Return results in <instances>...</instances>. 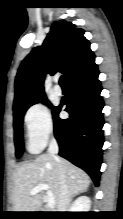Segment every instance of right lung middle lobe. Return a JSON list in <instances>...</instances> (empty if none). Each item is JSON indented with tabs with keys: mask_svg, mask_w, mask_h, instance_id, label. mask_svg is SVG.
<instances>
[{
	"mask_svg": "<svg viewBox=\"0 0 123 219\" xmlns=\"http://www.w3.org/2000/svg\"><path fill=\"white\" fill-rule=\"evenodd\" d=\"M42 102L49 107L52 108V113L56 109V107H53L49 101L47 100L46 96H40L35 99H32L16 108L13 109L14 113V142H15V149H16V156L19 158L23 154L24 151V145H23V134H22V124H23V117L26 112V110L32 106L33 104Z\"/></svg>",
	"mask_w": 123,
	"mask_h": 219,
	"instance_id": "1",
	"label": "right lung middle lobe"
}]
</instances>
